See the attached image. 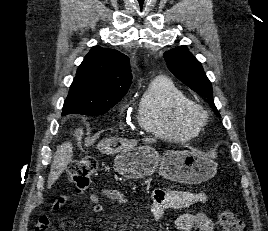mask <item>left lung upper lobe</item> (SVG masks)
I'll return each instance as SVG.
<instances>
[{
  "label": "left lung upper lobe",
  "instance_id": "5c2ea615",
  "mask_svg": "<svg viewBox=\"0 0 268 231\" xmlns=\"http://www.w3.org/2000/svg\"><path fill=\"white\" fill-rule=\"evenodd\" d=\"M169 70L185 85L208 99L216 115L220 117L213 102L212 86L206 77L201 63L189 52L186 46H179L164 53Z\"/></svg>",
  "mask_w": 268,
  "mask_h": 231
}]
</instances>
